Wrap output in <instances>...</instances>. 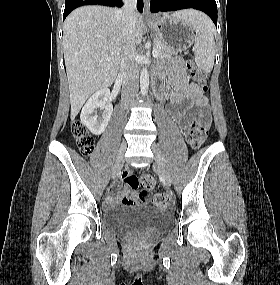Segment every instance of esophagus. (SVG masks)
Instances as JSON below:
<instances>
[{
  "label": "esophagus",
  "mask_w": 280,
  "mask_h": 285,
  "mask_svg": "<svg viewBox=\"0 0 280 285\" xmlns=\"http://www.w3.org/2000/svg\"><path fill=\"white\" fill-rule=\"evenodd\" d=\"M144 15L146 18H151L152 14L150 13V1L144 0Z\"/></svg>",
  "instance_id": "34e87169"
}]
</instances>
